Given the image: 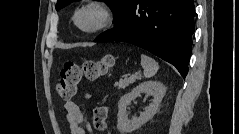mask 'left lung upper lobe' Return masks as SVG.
<instances>
[{
	"label": "left lung upper lobe",
	"instance_id": "1",
	"mask_svg": "<svg viewBox=\"0 0 239 134\" xmlns=\"http://www.w3.org/2000/svg\"><path fill=\"white\" fill-rule=\"evenodd\" d=\"M75 0H58L56 4V10L67 6L68 4L74 2ZM111 8L114 13L115 24L119 22L122 15L124 14L126 8L132 0H102Z\"/></svg>",
	"mask_w": 239,
	"mask_h": 134
}]
</instances>
